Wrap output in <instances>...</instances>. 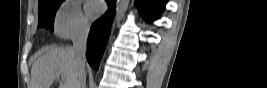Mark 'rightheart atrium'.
Listing matches in <instances>:
<instances>
[{"mask_svg":"<svg viewBox=\"0 0 267 88\" xmlns=\"http://www.w3.org/2000/svg\"><path fill=\"white\" fill-rule=\"evenodd\" d=\"M54 27L58 36L75 39L87 34L89 23L78 4L74 1H68L57 11Z\"/></svg>","mask_w":267,"mask_h":88,"instance_id":"1","label":"right heart atrium"}]
</instances>
